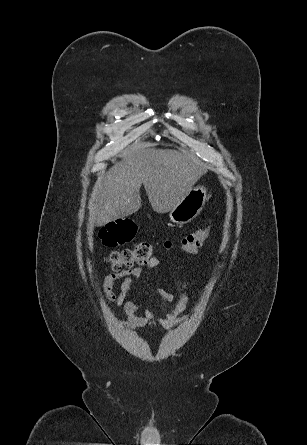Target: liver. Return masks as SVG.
Segmentation results:
<instances>
[{
    "label": "liver",
    "instance_id": "liver-1",
    "mask_svg": "<svg viewBox=\"0 0 307 445\" xmlns=\"http://www.w3.org/2000/svg\"><path fill=\"white\" fill-rule=\"evenodd\" d=\"M120 156L122 160L100 178L89 200L96 227L137 212L142 184L153 210L169 212L206 172L191 156L173 148H154L152 142H134Z\"/></svg>",
    "mask_w": 307,
    "mask_h": 445
}]
</instances>
